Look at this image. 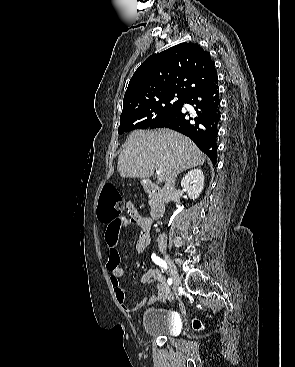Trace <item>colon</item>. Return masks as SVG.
Wrapping results in <instances>:
<instances>
[{
    "label": "colon",
    "mask_w": 295,
    "mask_h": 367,
    "mask_svg": "<svg viewBox=\"0 0 295 367\" xmlns=\"http://www.w3.org/2000/svg\"><path fill=\"white\" fill-rule=\"evenodd\" d=\"M125 208V203L113 184H106L100 195L99 215L102 222L107 223L119 218L120 213ZM199 322H195V327H199Z\"/></svg>",
    "instance_id": "colon-1"
}]
</instances>
